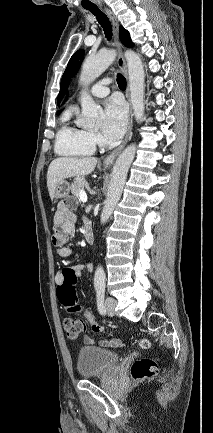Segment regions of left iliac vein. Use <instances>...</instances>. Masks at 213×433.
<instances>
[{"label": "left iliac vein", "instance_id": "left-iliac-vein-1", "mask_svg": "<svg viewBox=\"0 0 213 433\" xmlns=\"http://www.w3.org/2000/svg\"><path fill=\"white\" fill-rule=\"evenodd\" d=\"M105 306H106V313L109 316H114V314H115L116 300L114 298H112V297H108L106 299Z\"/></svg>", "mask_w": 213, "mask_h": 433}]
</instances>
